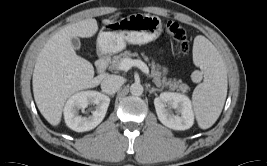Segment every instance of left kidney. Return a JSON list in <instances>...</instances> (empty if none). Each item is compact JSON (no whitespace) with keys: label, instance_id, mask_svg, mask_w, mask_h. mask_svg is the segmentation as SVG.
Segmentation results:
<instances>
[{"label":"left kidney","instance_id":"obj_1","mask_svg":"<svg viewBox=\"0 0 267 166\" xmlns=\"http://www.w3.org/2000/svg\"><path fill=\"white\" fill-rule=\"evenodd\" d=\"M154 105L158 119L166 127L173 130H186L192 127L194 113L191 101L186 95L163 92L154 99Z\"/></svg>","mask_w":267,"mask_h":166}]
</instances>
